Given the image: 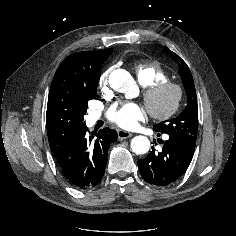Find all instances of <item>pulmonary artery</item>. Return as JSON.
I'll return each mask as SVG.
<instances>
[{
    "instance_id": "e3ab8cb5",
    "label": "pulmonary artery",
    "mask_w": 236,
    "mask_h": 236,
    "mask_svg": "<svg viewBox=\"0 0 236 236\" xmlns=\"http://www.w3.org/2000/svg\"><path fill=\"white\" fill-rule=\"evenodd\" d=\"M93 118L94 119L98 118V114H93Z\"/></svg>"
}]
</instances>
